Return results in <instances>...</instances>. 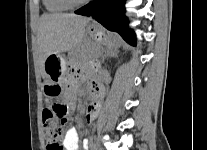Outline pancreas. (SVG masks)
Here are the masks:
<instances>
[{"label": "pancreas", "instance_id": "cf45deb5", "mask_svg": "<svg viewBox=\"0 0 207 150\" xmlns=\"http://www.w3.org/2000/svg\"><path fill=\"white\" fill-rule=\"evenodd\" d=\"M96 54H97L96 48H86L83 50L79 58L80 60L83 61V64L85 63L91 64L95 60Z\"/></svg>", "mask_w": 207, "mask_h": 150}]
</instances>
